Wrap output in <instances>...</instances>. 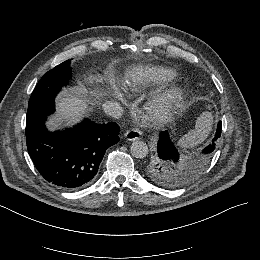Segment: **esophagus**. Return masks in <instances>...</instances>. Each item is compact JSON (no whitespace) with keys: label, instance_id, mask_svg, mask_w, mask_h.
<instances>
[{"label":"esophagus","instance_id":"34e87169","mask_svg":"<svg viewBox=\"0 0 260 260\" xmlns=\"http://www.w3.org/2000/svg\"><path fill=\"white\" fill-rule=\"evenodd\" d=\"M142 136V132L137 129V128H133L131 130H128L126 133H125V138L128 140V141H135V140H138L140 139Z\"/></svg>","mask_w":260,"mask_h":260}]
</instances>
